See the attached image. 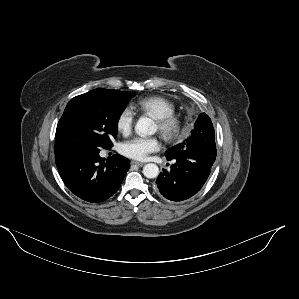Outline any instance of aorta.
<instances>
[{"instance_id":"obj_1","label":"aorta","mask_w":299,"mask_h":299,"mask_svg":"<svg viewBox=\"0 0 299 299\" xmlns=\"http://www.w3.org/2000/svg\"><path fill=\"white\" fill-rule=\"evenodd\" d=\"M135 131L140 136L153 135L157 131V126L152 119L141 117L135 125ZM143 174L149 179L156 178L159 168L156 164L148 163L143 167Z\"/></svg>"}]
</instances>
